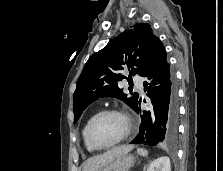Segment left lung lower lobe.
Instances as JSON below:
<instances>
[{
    "mask_svg": "<svg viewBox=\"0 0 223 171\" xmlns=\"http://www.w3.org/2000/svg\"><path fill=\"white\" fill-rule=\"evenodd\" d=\"M143 77L144 90L151 100V109L141 110L138 101L135 111L141 114L139 133L131 144L171 145L177 139L179 105L175 74L167 62V54L158 41L150 55Z\"/></svg>",
    "mask_w": 223,
    "mask_h": 171,
    "instance_id": "left-lung-lower-lobe-1",
    "label": "left lung lower lobe"
}]
</instances>
